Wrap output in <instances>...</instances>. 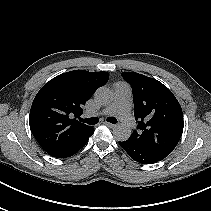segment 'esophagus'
<instances>
[{
	"mask_svg": "<svg viewBox=\"0 0 211 211\" xmlns=\"http://www.w3.org/2000/svg\"><path fill=\"white\" fill-rule=\"evenodd\" d=\"M104 124L107 125L110 128H115L116 127L115 124H112V123H109V122H104Z\"/></svg>",
	"mask_w": 211,
	"mask_h": 211,
	"instance_id": "obj_1",
	"label": "esophagus"
}]
</instances>
